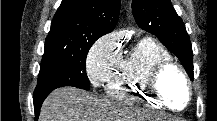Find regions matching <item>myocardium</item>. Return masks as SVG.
I'll list each match as a JSON object with an SVG mask.
<instances>
[{
	"label": "myocardium",
	"instance_id": "myocardium-1",
	"mask_svg": "<svg viewBox=\"0 0 217 121\" xmlns=\"http://www.w3.org/2000/svg\"><path fill=\"white\" fill-rule=\"evenodd\" d=\"M174 70L176 71L181 78L183 79L184 83H185V87H186V91H187V99L186 102L184 104L183 107L181 108H176L174 107L162 94L161 89H160V80L161 78L168 72ZM147 85L149 88V93L150 95L154 98V100L159 103L160 105L166 107L167 109L174 111V112H181L183 110H185L191 100H192V96H193V91H192V85H191V81L187 75V73L185 72V70L183 69V67L181 65H179L178 63L172 61V60H168V61H164L161 62L159 64H157L151 71L148 81H147Z\"/></svg>",
	"mask_w": 217,
	"mask_h": 121
}]
</instances>
